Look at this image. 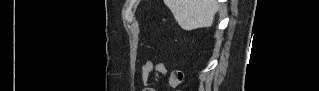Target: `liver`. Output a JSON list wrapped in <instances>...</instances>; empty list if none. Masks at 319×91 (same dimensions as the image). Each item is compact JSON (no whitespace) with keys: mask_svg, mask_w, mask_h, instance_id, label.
<instances>
[{"mask_svg":"<svg viewBox=\"0 0 319 91\" xmlns=\"http://www.w3.org/2000/svg\"><path fill=\"white\" fill-rule=\"evenodd\" d=\"M184 30L210 27L219 8L216 0H165Z\"/></svg>","mask_w":319,"mask_h":91,"instance_id":"liver-1","label":"liver"}]
</instances>
